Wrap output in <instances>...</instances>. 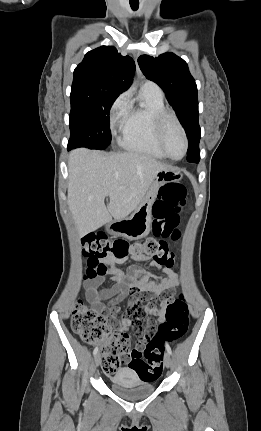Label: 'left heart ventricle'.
<instances>
[{"label":"left heart ventricle","mask_w":261,"mask_h":431,"mask_svg":"<svg viewBox=\"0 0 261 431\" xmlns=\"http://www.w3.org/2000/svg\"><path fill=\"white\" fill-rule=\"evenodd\" d=\"M164 144L167 152L175 158L180 157L184 151V140L175 124L169 123L164 133Z\"/></svg>","instance_id":"obj_1"}]
</instances>
